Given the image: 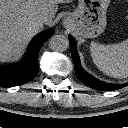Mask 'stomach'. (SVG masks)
I'll return each instance as SVG.
<instances>
[{"instance_id": "stomach-1", "label": "stomach", "mask_w": 128, "mask_h": 128, "mask_svg": "<svg viewBox=\"0 0 128 128\" xmlns=\"http://www.w3.org/2000/svg\"><path fill=\"white\" fill-rule=\"evenodd\" d=\"M78 2V7L66 18V25L85 38L101 35L106 28V11L110 0H78Z\"/></svg>"}]
</instances>
